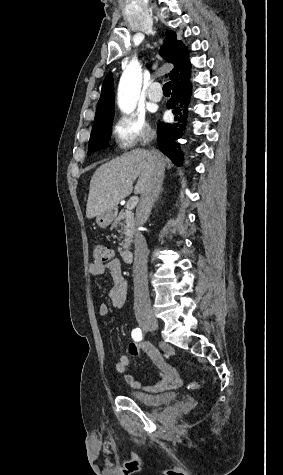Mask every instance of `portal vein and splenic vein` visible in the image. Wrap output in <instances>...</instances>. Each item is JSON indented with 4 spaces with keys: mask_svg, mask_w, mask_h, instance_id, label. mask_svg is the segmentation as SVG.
<instances>
[{
    "mask_svg": "<svg viewBox=\"0 0 283 475\" xmlns=\"http://www.w3.org/2000/svg\"><path fill=\"white\" fill-rule=\"evenodd\" d=\"M135 198V202H137L138 198L137 196H134ZM131 204H132V200H129L128 204H127V208H131Z\"/></svg>",
    "mask_w": 283,
    "mask_h": 475,
    "instance_id": "portal-vein-and-splenic-vein-1",
    "label": "portal vein and splenic vein"
}]
</instances>
